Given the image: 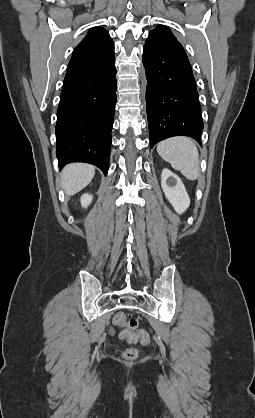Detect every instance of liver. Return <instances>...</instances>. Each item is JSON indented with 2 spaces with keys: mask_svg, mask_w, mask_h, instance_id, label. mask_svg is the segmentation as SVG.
<instances>
[{
  "mask_svg": "<svg viewBox=\"0 0 255 418\" xmlns=\"http://www.w3.org/2000/svg\"><path fill=\"white\" fill-rule=\"evenodd\" d=\"M95 175V167L86 163L67 165L61 173V185L72 196L85 188Z\"/></svg>",
  "mask_w": 255,
  "mask_h": 418,
  "instance_id": "1",
  "label": "liver"
}]
</instances>
